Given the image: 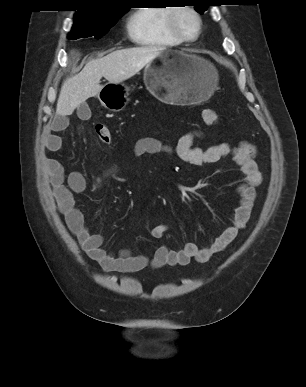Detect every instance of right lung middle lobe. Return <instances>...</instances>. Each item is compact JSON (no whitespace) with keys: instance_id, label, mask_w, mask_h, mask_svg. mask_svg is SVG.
I'll list each match as a JSON object with an SVG mask.
<instances>
[{"instance_id":"1","label":"right lung middle lobe","mask_w":306,"mask_h":387,"mask_svg":"<svg viewBox=\"0 0 306 387\" xmlns=\"http://www.w3.org/2000/svg\"><path fill=\"white\" fill-rule=\"evenodd\" d=\"M127 10L128 8L118 14H112L102 18H75V23L69 34V38L95 37L96 39H100Z\"/></svg>"}]
</instances>
